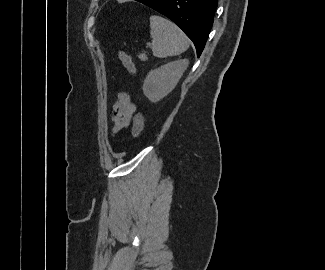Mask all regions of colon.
<instances>
[{"label": "colon", "mask_w": 325, "mask_h": 270, "mask_svg": "<svg viewBox=\"0 0 325 270\" xmlns=\"http://www.w3.org/2000/svg\"><path fill=\"white\" fill-rule=\"evenodd\" d=\"M117 55L124 68L129 73L134 75L136 73V67L131 57L123 50H119ZM143 127H144L143 115L141 113H137L134 117V123L132 128V135L134 138L140 135V133L143 130Z\"/></svg>", "instance_id": "obj_1"}]
</instances>
